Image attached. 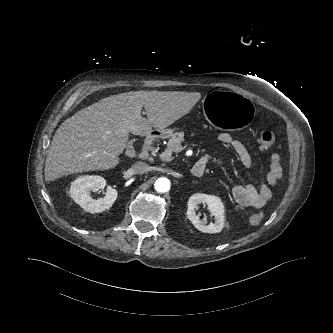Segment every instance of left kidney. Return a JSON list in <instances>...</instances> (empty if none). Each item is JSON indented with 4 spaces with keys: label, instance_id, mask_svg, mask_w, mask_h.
I'll return each instance as SVG.
<instances>
[{
    "label": "left kidney",
    "instance_id": "1",
    "mask_svg": "<svg viewBox=\"0 0 333 333\" xmlns=\"http://www.w3.org/2000/svg\"><path fill=\"white\" fill-rule=\"evenodd\" d=\"M201 202L207 203L209 211L215 217L214 223L207 225L206 220H200L199 216L196 215L195 208ZM187 217L199 231L210 234L217 233L224 227V205L217 196L196 193L188 200Z\"/></svg>",
    "mask_w": 333,
    "mask_h": 333
}]
</instances>
